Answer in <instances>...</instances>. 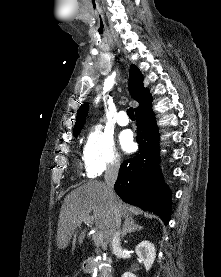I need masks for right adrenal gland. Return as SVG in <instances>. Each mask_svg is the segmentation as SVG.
Wrapping results in <instances>:
<instances>
[{
	"label": "right adrenal gland",
	"mask_w": 221,
	"mask_h": 277,
	"mask_svg": "<svg viewBox=\"0 0 221 277\" xmlns=\"http://www.w3.org/2000/svg\"><path fill=\"white\" fill-rule=\"evenodd\" d=\"M142 228H143L142 226L134 222L125 221L124 224L122 225V230H121L122 238H124L128 233L139 232L142 230Z\"/></svg>",
	"instance_id": "2a0ac1e0"
}]
</instances>
